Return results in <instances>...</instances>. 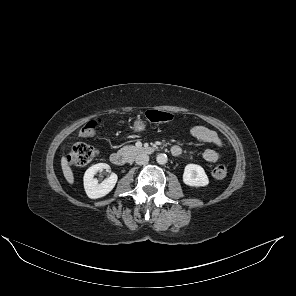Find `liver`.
<instances>
[{
  "instance_id": "obj_1",
  "label": "liver",
  "mask_w": 296,
  "mask_h": 296,
  "mask_svg": "<svg viewBox=\"0 0 296 296\" xmlns=\"http://www.w3.org/2000/svg\"><path fill=\"white\" fill-rule=\"evenodd\" d=\"M61 166H62V171L64 174L65 179L69 184L74 183V175L73 172L68 164L67 158L65 156L62 157L61 159Z\"/></svg>"
}]
</instances>
